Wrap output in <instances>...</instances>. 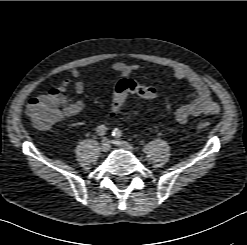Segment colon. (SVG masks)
Segmentation results:
<instances>
[{"mask_svg": "<svg viewBox=\"0 0 247 245\" xmlns=\"http://www.w3.org/2000/svg\"><path fill=\"white\" fill-rule=\"evenodd\" d=\"M129 95L144 99H155L158 90L149 85L141 84L131 78L121 79L115 86L111 100V112L118 113ZM64 101L60 97L40 95L32 98L27 105V115L38 129L46 130L63 118ZM209 123L201 121L197 124L198 130H206Z\"/></svg>", "mask_w": 247, "mask_h": 245, "instance_id": "obj_1", "label": "colon"}]
</instances>
